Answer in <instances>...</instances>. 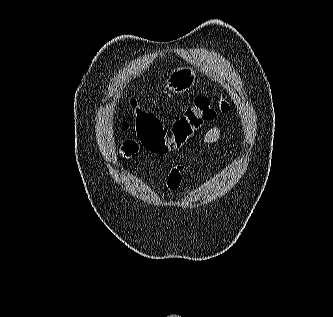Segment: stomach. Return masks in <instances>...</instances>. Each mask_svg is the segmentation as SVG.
<instances>
[{
    "mask_svg": "<svg viewBox=\"0 0 333 317\" xmlns=\"http://www.w3.org/2000/svg\"><path fill=\"white\" fill-rule=\"evenodd\" d=\"M196 74L192 68H177L170 73L166 87L172 93L181 94L190 90L195 83Z\"/></svg>",
    "mask_w": 333,
    "mask_h": 317,
    "instance_id": "1",
    "label": "stomach"
}]
</instances>
